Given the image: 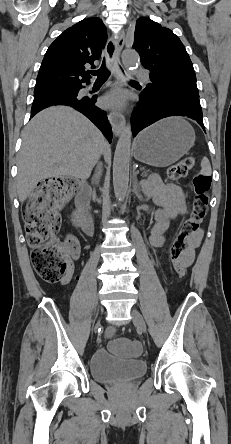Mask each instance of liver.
<instances>
[{
  "label": "liver",
  "instance_id": "obj_1",
  "mask_svg": "<svg viewBox=\"0 0 231 444\" xmlns=\"http://www.w3.org/2000/svg\"><path fill=\"white\" fill-rule=\"evenodd\" d=\"M101 154L110 157V146L81 113L67 106L42 110L22 132L16 179L19 200L25 201L47 178H89Z\"/></svg>",
  "mask_w": 231,
  "mask_h": 444
}]
</instances>
